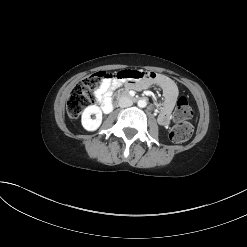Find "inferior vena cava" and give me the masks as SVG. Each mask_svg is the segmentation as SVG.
<instances>
[{"label":"inferior vena cava","instance_id":"obj_1","mask_svg":"<svg viewBox=\"0 0 247 247\" xmlns=\"http://www.w3.org/2000/svg\"><path fill=\"white\" fill-rule=\"evenodd\" d=\"M133 104L132 99L128 95H122L119 98L118 105L121 108L129 107Z\"/></svg>","mask_w":247,"mask_h":247}]
</instances>
